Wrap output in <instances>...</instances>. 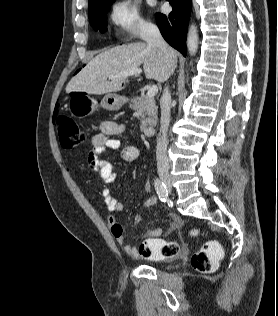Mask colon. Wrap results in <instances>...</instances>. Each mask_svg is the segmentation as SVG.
Wrapping results in <instances>:
<instances>
[{
  "label": "colon",
  "instance_id": "colon-1",
  "mask_svg": "<svg viewBox=\"0 0 278 316\" xmlns=\"http://www.w3.org/2000/svg\"><path fill=\"white\" fill-rule=\"evenodd\" d=\"M55 125L63 148L72 149L86 142V132L71 118L59 115L55 118ZM139 253L146 258H170L178 255L179 246L173 241L147 239L140 245ZM222 256L220 244L207 241L191 256V266L200 273H210L217 268Z\"/></svg>",
  "mask_w": 278,
  "mask_h": 316
}]
</instances>
